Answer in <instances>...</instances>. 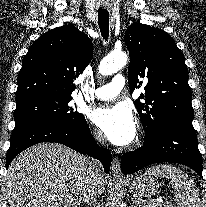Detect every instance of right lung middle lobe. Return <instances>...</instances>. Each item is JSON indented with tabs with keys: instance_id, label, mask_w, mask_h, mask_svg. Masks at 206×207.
I'll return each instance as SVG.
<instances>
[{
	"instance_id": "1",
	"label": "right lung middle lobe",
	"mask_w": 206,
	"mask_h": 207,
	"mask_svg": "<svg viewBox=\"0 0 206 207\" xmlns=\"http://www.w3.org/2000/svg\"><path fill=\"white\" fill-rule=\"evenodd\" d=\"M71 96L36 94L16 100L12 135L44 124L79 127L86 120L69 105Z\"/></svg>"
}]
</instances>
